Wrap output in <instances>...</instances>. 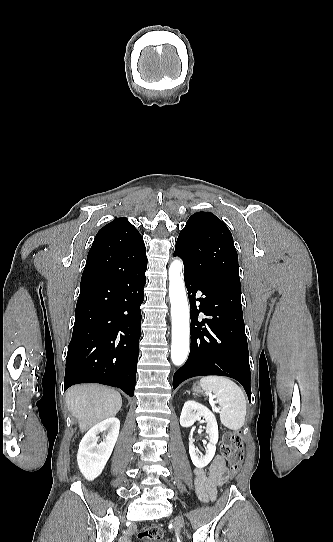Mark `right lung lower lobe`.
Wrapping results in <instances>:
<instances>
[{
  "label": "right lung lower lobe",
  "mask_w": 333,
  "mask_h": 542,
  "mask_svg": "<svg viewBox=\"0 0 333 542\" xmlns=\"http://www.w3.org/2000/svg\"><path fill=\"white\" fill-rule=\"evenodd\" d=\"M146 268L144 242L88 253L66 357L65 390L93 382L134 396Z\"/></svg>",
  "instance_id": "1"
}]
</instances>
